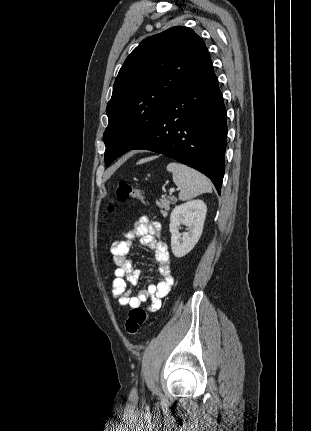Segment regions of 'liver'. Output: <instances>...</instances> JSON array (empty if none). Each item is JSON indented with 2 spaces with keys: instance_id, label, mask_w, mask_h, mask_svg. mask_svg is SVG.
Here are the masks:
<instances>
[{
  "instance_id": "1",
  "label": "liver",
  "mask_w": 311,
  "mask_h": 431,
  "mask_svg": "<svg viewBox=\"0 0 311 431\" xmlns=\"http://www.w3.org/2000/svg\"><path fill=\"white\" fill-rule=\"evenodd\" d=\"M148 158H144V160H139V162H137V164H144V162H147Z\"/></svg>"
}]
</instances>
